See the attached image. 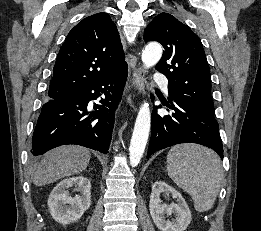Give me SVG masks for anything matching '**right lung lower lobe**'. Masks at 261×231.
<instances>
[{
  "label": "right lung lower lobe",
  "instance_id": "98d812e1",
  "mask_svg": "<svg viewBox=\"0 0 261 231\" xmlns=\"http://www.w3.org/2000/svg\"><path fill=\"white\" fill-rule=\"evenodd\" d=\"M126 79L127 66L75 94L47 101L33 133L32 155H42L66 144H77L107 154L115 110ZM102 94L105 99L100 100V105L94 103V110H91L89 101Z\"/></svg>",
  "mask_w": 261,
  "mask_h": 231
}]
</instances>
